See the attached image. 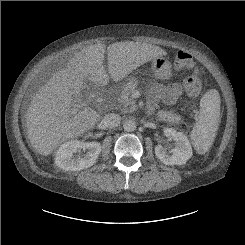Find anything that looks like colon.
I'll return each mask as SVG.
<instances>
[{
	"label": "colon",
	"mask_w": 245,
	"mask_h": 245,
	"mask_svg": "<svg viewBox=\"0 0 245 245\" xmlns=\"http://www.w3.org/2000/svg\"><path fill=\"white\" fill-rule=\"evenodd\" d=\"M176 67L190 73L184 80V88L187 95L196 98L202 89V75L195 68L194 57L187 50H179L175 55Z\"/></svg>",
	"instance_id": "5ec220e1"
}]
</instances>
